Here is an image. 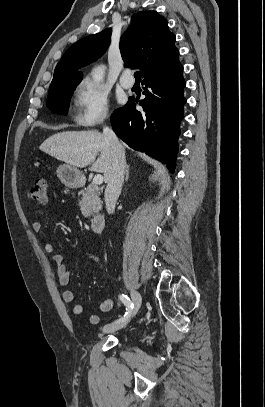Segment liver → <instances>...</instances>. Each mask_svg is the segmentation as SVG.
<instances>
[{
	"instance_id": "liver-1",
	"label": "liver",
	"mask_w": 265,
	"mask_h": 407,
	"mask_svg": "<svg viewBox=\"0 0 265 407\" xmlns=\"http://www.w3.org/2000/svg\"><path fill=\"white\" fill-rule=\"evenodd\" d=\"M39 149L75 168L91 166L90 170L104 174L105 181L112 170L111 148L104 135L95 130L57 133L47 138Z\"/></svg>"
}]
</instances>
